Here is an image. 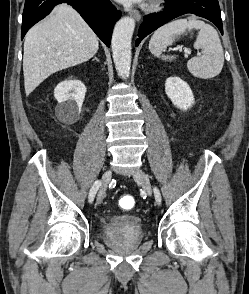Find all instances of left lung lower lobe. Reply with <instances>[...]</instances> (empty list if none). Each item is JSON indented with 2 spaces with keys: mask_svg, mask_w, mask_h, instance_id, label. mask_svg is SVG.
I'll list each match as a JSON object with an SVG mask.
<instances>
[{
  "mask_svg": "<svg viewBox=\"0 0 249 294\" xmlns=\"http://www.w3.org/2000/svg\"><path fill=\"white\" fill-rule=\"evenodd\" d=\"M165 4L163 11L144 17L138 31L139 38L136 40V46L158 27L186 13L196 14L210 20L223 34L218 0H166Z\"/></svg>",
  "mask_w": 249,
  "mask_h": 294,
  "instance_id": "obj_1",
  "label": "left lung lower lobe"
}]
</instances>
